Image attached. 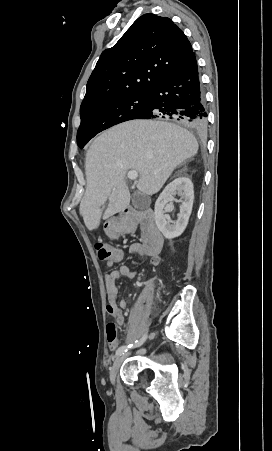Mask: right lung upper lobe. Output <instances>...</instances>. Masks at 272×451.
<instances>
[{"label":"right lung upper lobe","instance_id":"1","mask_svg":"<svg viewBox=\"0 0 272 451\" xmlns=\"http://www.w3.org/2000/svg\"><path fill=\"white\" fill-rule=\"evenodd\" d=\"M193 53L186 35L170 18L141 16L115 46L102 52L80 113L108 100L149 94Z\"/></svg>","mask_w":272,"mask_h":451}]
</instances>
